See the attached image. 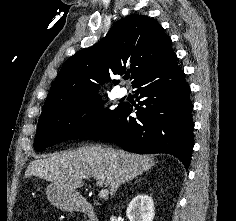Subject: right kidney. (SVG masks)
I'll list each match as a JSON object with an SVG mask.
<instances>
[{"label":"right kidney","instance_id":"ca27d5eb","mask_svg":"<svg viewBox=\"0 0 236 221\" xmlns=\"http://www.w3.org/2000/svg\"><path fill=\"white\" fill-rule=\"evenodd\" d=\"M154 215L153 199L145 194L135 196L126 210L129 221H153Z\"/></svg>","mask_w":236,"mask_h":221}]
</instances>
